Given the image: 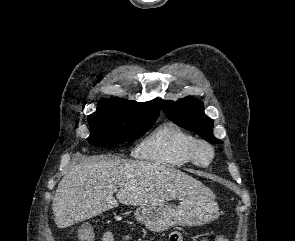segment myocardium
Wrapping results in <instances>:
<instances>
[{"mask_svg": "<svg viewBox=\"0 0 295 241\" xmlns=\"http://www.w3.org/2000/svg\"><path fill=\"white\" fill-rule=\"evenodd\" d=\"M206 151L208 153V159L203 160L201 153ZM191 158L193 163L201 167L209 166L215 158V149L213 145L205 140H196L191 149Z\"/></svg>", "mask_w": 295, "mask_h": 241, "instance_id": "1", "label": "myocardium"}]
</instances>
